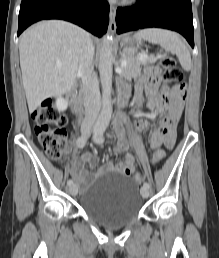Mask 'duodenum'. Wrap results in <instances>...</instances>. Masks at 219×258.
Segmentation results:
<instances>
[{
    "mask_svg": "<svg viewBox=\"0 0 219 258\" xmlns=\"http://www.w3.org/2000/svg\"><path fill=\"white\" fill-rule=\"evenodd\" d=\"M125 102V99L123 100V103ZM73 109L75 112H80V97L78 94H75L72 100Z\"/></svg>",
    "mask_w": 219,
    "mask_h": 258,
    "instance_id": "410a0bca",
    "label": "duodenum"
}]
</instances>
